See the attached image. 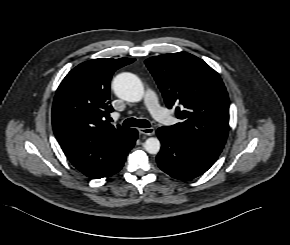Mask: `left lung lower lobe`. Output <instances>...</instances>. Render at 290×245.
I'll return each mask as SVG.
<instances>
[{
  "mask_svg": "<svg viewBox=\"0 0 290 245\" xmlns=\"http://www.w3.org/2000/svg\"><path fill=\"white\" fill-rule=\"evenodd\" d=\"M162 143L157 155L160 169L179 180H191L205 173L220 153L185 141L166 127L157 130Z\"/></svg>",
  "mask_w": 290,
  "mask_h": 245,
  "instance_id": "1",
  "label": "left lung lower lobe"
}]
</instances>
